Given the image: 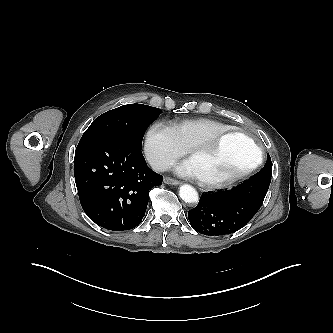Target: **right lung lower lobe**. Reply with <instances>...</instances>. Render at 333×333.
<instances>
[{
  "mask_svg": "<svg viewBox=\"0 0 333 333\" xmlns=\"http://www.w3.org/2000/svg\"><path fill=\"white\" fill-rule=\"evenodd\" d=\"M74 176L87 216L114 231L141 223L149 190L163 180L147 166L141 148L112 139L80 140Z\"/></svg>",
  "mask_w": 333,
  "mask_h": 333,
  "instance_id": "98d812e1",
  "label": "right lung lower lobe"
}]
</instances>
